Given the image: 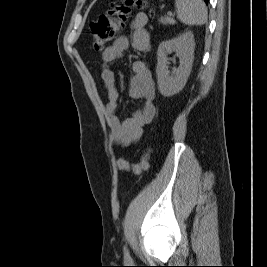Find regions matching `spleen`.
I'll return each instance as SVG.
<instances>
[{
  "instance_id": "spleen-1",
  "label": "spleen",
  "mask_w": 267,
  "mask_h": 267,
  "mask_svg": "<svg viewBox=\"0 0 267 267\" xmlns=\"http://www.w3.org/2000/svg\"><path fill=\"white\" fill-rule=\"evenodd\" d=\"M177 18L186 25H203L207 22V8L202 0H175Z\"/></svg>"
}]
</instances>
